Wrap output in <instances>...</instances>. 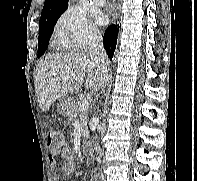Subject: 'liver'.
<instances>
[{"mask_svg":"<svg viewBox=\"0 0 197 181\" xmlns=\"http://www.w3.org/2000/svg\"><path fill=\"white\" fill-rule=\"evenodd\" d=\"M85 87L92 93L107 83V72H101L90 56L83 52L47 55L35 69V92L42 111H48L56 99Z\"/></svg>","mask_w":197,"mask_h":181,"instance_id":"obj_1","label":"liver"}]
</instances>
